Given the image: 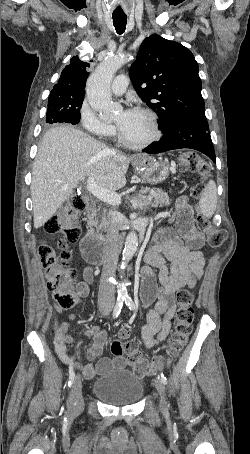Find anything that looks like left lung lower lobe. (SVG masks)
Segmentation results:
<instances>
[{"instance_id":"0a47b994","label":"left lung lower lobe","mask_w":250,"mask_h":454,"mask_svg":"<svg viewBox=\"0 0 250 454\" xmlns=\"http://www.w3.org/2000/svg\"><path fill=\"white\" fill-rule=\"evenodd\" d=\"M158 142H153L143 151L157 154L173 149L190 148L207 155L216 163L209 126L204 113L184 116L171 123Z\"/></svg>"}]
</instances>
